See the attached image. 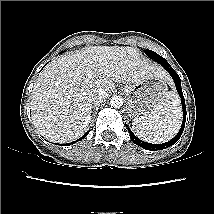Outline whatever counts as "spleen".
Masks as SVG:
<instances>
[{
    "mask_svg": "<svg viewBox=\"0 0 214 214\" xmlns=\"http://www.w3.org/2000/svg\"><path fill=\"white\" fill-rule=\"evenodd\" d=\"M181 122L182 109L179 97L175 92L170 91L148 114L135 117L132 129L146 142L163 143L177 134Z\"/></svg>",
    "mask_w": 214,
    "mask_h": 214,
    "instance_id": "obj_1",
    "label": "spleen"
}]
</instances>
